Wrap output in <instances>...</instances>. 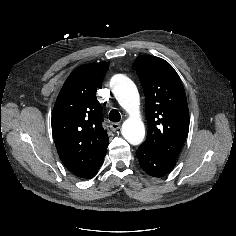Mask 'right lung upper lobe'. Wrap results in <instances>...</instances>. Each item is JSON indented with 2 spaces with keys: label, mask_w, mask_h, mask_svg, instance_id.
I'll return each mask as SVG.
<instances>
[{
  "label": "right lung upper lobe",
  "mask_w": 236,
  "mask_h": 236,
  "mask_svg": "<svg viewBox=\"0 0 236 236\" xmlns=\"http://www.w3.org/2000/svg\"><path fill=\"white\" fill-rule=\"evenodd\" d=\"M107 62L84 64L65 81L54 105L52 132L61 161L76 176L91 178L100 168L108 146L103 116L96 98Z\"/></svg>",
  "instance_id": "obj_1"
}]
</instances>
